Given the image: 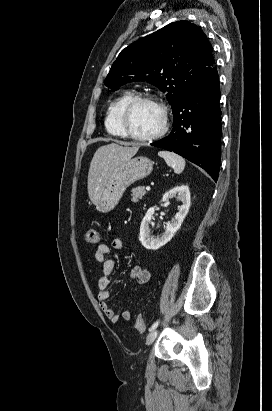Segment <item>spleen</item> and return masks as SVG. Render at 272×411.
Returning a JSON list of instances; mask_svg holds the SVG:
<instances>
[{"label":"spleen","instance_id":"obj_1","mask_svg":"<svg viewBox=\"0 0 272 411\" xmlns=\"http://www.w3.org/2000/svg\"><path fill=\"white\" fill-rule=\"evenodd\" d=\"M158 156L163 158L167 165L170 166L176 174L183 172L186 162L181 156L165 150L159 151Z\"/></svg>","mask_w":272,"mask_h":411}]
</instances>
